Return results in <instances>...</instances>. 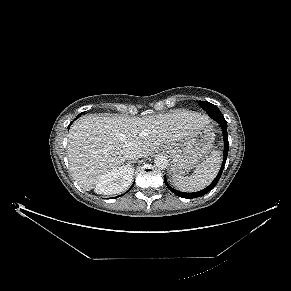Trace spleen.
<instances>
[{
    "label": "spleen",
    "instance_id": "obj_1",
    "mask_svg": "<svg viewBox=\"0 0 291 291\" xmlns=\"http://www.w3.org/2000/svg\"><path fill=\"white\" fill-rule=\"evenodd\" d=\"M222 157L219 151H212L211 156L196 167L191 176L173 177L174 186L183 192H196L206 188L217 176Z\"/></svg>",
    "mask_w": 291,
    "mask_h": 291
}]
</instances>
